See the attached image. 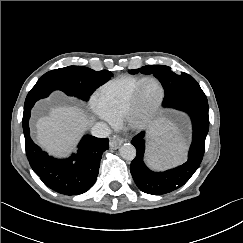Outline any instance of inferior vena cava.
Instances as JSON below:
<instances>
[{"label": "inferior vena cava", "instance_id": "1", "mask_svg": "<svg viewBox=\"0 0 243 243\" xmlns=\"http://www.w3.org/2000/svg\"><path fill=\"white\" fill-rule=\"evenodd\" d=\"M91 133L93 136L106 138L110 136L111 130L106 123L98 122L92 126Z\"/></svg>", "mask_w": 243, "mask_h": 243}]
</instances>
